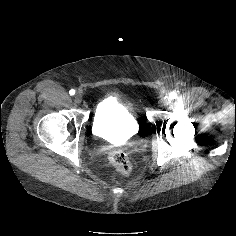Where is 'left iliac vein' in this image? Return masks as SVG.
Segmentation results:
<instances>
[{
    "label": "left iliac vein",
    "mask_w": 236,
    "mask_h": 236,
    "mask_svg": "<svg viewBox=\"0 0 236 236\" xmlns=\"http://www.w3.org/2000/svg\"><path fill=\"white\" fill-rule=\"evenodd\" d=\"M170 99L169 98H162L160 101H159V104L160 106H167L169 103H170Z\"/></svg>",
    "instance_id": "left-iliac-vein-1"
}]
</instances>
